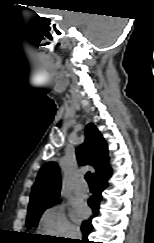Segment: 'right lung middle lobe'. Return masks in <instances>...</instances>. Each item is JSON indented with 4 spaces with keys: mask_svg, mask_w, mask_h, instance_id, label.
I'll list each match as a JSON object with an SVG mask.
<instances>
[{
    "mask_svg": "<svg viewBox=\"0 0 154 243\" xmlns=\"http://www.w3.org/2000/svg\"><path fill=\"white\" fill-rule=\"evenodd\" d=\"M55 204V201L48 202L36 207L28 208V215H27V227H35L38 225V221L42 215V213L49 207Z\"/></svg>",
    "mask_w": 154,
    "mask_h": 243,
    "instance_id": "1",
    "label": "right lung middle lobe"
}]
</instances>
